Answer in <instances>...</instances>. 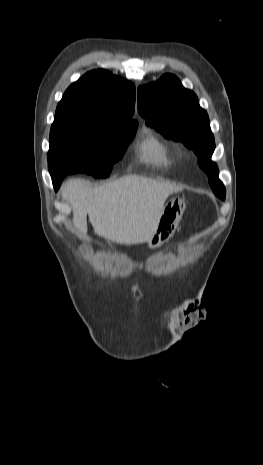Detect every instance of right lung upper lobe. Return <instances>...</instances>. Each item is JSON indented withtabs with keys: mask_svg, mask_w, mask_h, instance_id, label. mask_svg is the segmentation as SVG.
Wrapping results in <instances>:
<instances>
[{
	"mask_svg": "<svg viewBox=\"0 0 263 465\" xmlns=\"http://www.w3.org/2000/svg\"><path fill=\"white\" fill-rule=\"evenodd\" d=\"M135 86L106 70H93L73 83L58 103L56 112H85L132 120Z\"/></svg>",
	"mask_w": 263,
	"mask_h": 465,
	"instance_id": "1",
	"label": "right lung upper lobe"
}]
</instances>
